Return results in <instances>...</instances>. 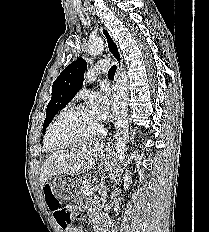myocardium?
I'll return each mask as SVG.
<instances>
[{
    "mask_svg": "<svg viewBox=\"0 0 209 232\" xmlns=\"http://www.w3.org/2000/svg\"><path fill=\"white\" fill-rule=\"evenodd\" d=\"M83 110H89V107L84 105V104L74 105V106H71V107H68V108L64 109L63 111H61L57 115V117L49 125V127L47 129V132H46L45 140H46L47 144L50 147H52L54 149H59V148H62V147H65V146H68V145H71V144H74V143H77V142L90 140L92 138H95V137L99 136L102 133L103 125H102V123H100L99 126L97 127V129L93 133L85 135L83 137L75 138V139H72V140H69V141H66V142H62V143H57V142H55L53 140L52 132H53V129H54L55 125L63 117H65V116H67V115H69L71 113L78 112V111H83Z\"/></svg>",
    "mask_w": 209,
    "mask_h": 232,
    "instance_id": "1",
    "label": "myocardium"
}]
</instances>
